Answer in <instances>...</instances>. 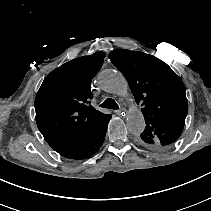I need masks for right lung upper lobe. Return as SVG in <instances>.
Returning a JSON list of instances; mask_svg holds the SVG:
<instances>
[{
  "mask_svg": "<svg viewBox=\"0 0 211 211\" xmlns=\"http://www.w3.org/2000/svg\"><path fill=\"white\" fill-rule=\"evenodd\" d=\"M105 53L71 60L52 71L35 99L36 122L46 142L82 129L103 115L90 105L91 80Z\"/></svg>",
  "mask_w": 211,
  "mask_h": 211,
  "instance_id": "right-lung-upper-lobe-1",
  "label": "right lung upper lobe"
}]
</instances>
